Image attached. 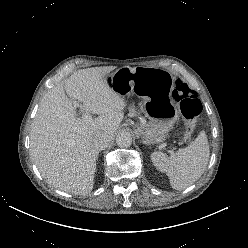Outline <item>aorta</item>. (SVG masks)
<instances>
[{
	"instance_id": "aorta-1",
	"label": "aorta",
	"mask_w": 248,
	"mask_h": 248,
	"mask_svg": "<svg viewBox=\"0 0 248 248\" xmlns=\"http://www.w3.org/2000/svg\"><path fill=\"white\" fill-rule=\"evenodd\" d=\"M116 143L119 147L127 148L132 144V136L129 132L121 131L116 136Z\"/></svg>"
}]
</instances>
